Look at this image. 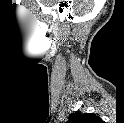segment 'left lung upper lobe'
<instances>
[{
	"label": "left lung upper lobe",
	"mask_w": 124,
	"mask_h": 123,
	"mask_svg": "<svg viewBox=\"0 0 124 123\" xmlns=\"http://www.w3.org/2000/svg\"><path fill=\"white\" fill-rule=\"evenodd\" d=\"M100 120L95 114L92 113H81L77 111L69 115L67 123H98Z\"/></svg>",
	"instance_id": "5c2ea615"
}]
</instances>
